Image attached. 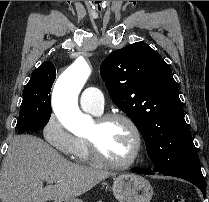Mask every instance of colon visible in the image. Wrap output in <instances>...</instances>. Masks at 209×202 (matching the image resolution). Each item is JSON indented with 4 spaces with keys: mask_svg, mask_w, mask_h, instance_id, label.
<instances>
[{
    "mask_svg": "<svg viewBox=\"0 0 209 202\" xmlns=\"http://www.w3.org/2000/svg\"><path fill=\"white\" fill-rule=\"evenodd\" d=\"M169 202H188L186 199L178 197V198H174Z\"/></svg>",
    "mask_w": 209,
    "mask_h": 202,
    "instance_id": "1",
    "label": "colon"
}]
</instances>
